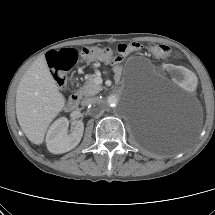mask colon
Wrapping results in <instances>:
<instances>
[{
    "label": "colon",
    "mask_w": 215,
    "mask_h": 215,
    "mask_svg": "<svg viewBox=\"0 0 215 215\" xmlns=\"http://www.w3.org/2000/svg\"><path fill=\"white\" fill-rule=\"evenodd\" d=\"M137 47V43L121 44L118 46V53L120 55L132 53ZM151 50L157 57H167L171 54L170 49L163 45L152 46ZM80 54L87 59H99L103 61H112L114 59L113 51L110 48L84 47L81 49ZM77 58L78 52L70 48L60 51L53 50L47 53L46 60L58 86H65L66 73L76 63Z\"/></svg>",
    "instance_id": "colon-1"
}]
</instances>
